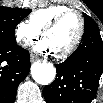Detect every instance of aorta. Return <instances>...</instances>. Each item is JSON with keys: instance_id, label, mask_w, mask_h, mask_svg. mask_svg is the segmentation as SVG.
Returning <instances> with one entry per match:
<instances>
[{"instance_id": "1", "label": "aorta", "mask_w": 103, "mask_h": 103, "mask_svg": "<svg viewBox=\"0 0 103 103\" xmlns=\"http://www.w3.org/2000/svg\"><path fill=\"white\" fill-rule=\"evenodd\" d=\"M31 75L38 84L48 85L55 79L56 71L51 63L35 62L31 66Z\"/></svg>"}]
</instances>
